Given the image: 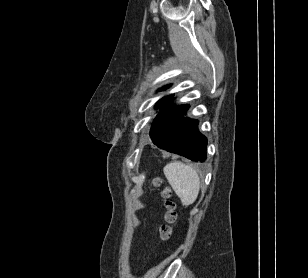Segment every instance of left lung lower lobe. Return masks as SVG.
I'll return each instance as SVG.
<instances>
[{
    "label": "left lung lower lobe",
    "mask_w": 308,
    "mask_h": 278,
    "mask_svg": "<svg viewBox=\"0 0 308 278\" xmlns=\"http://www.w3.org/2000/svg\"><path fill=\"white\" fill-rule=\"evenodd\" d=\"M188 108V105L165 107L154 119L150 137L156 146L168 152L202 162L206 160L207 139L198 131L197 120L183 116Z\"/></svg>",
    "instance_id": "obj_1"
}]
</instances>
